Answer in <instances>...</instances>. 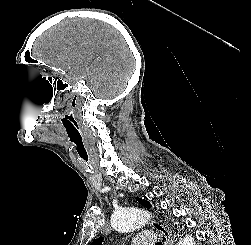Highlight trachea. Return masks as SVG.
Segmentation results:
<instances>
[{"label":"trachea","instance_id":"obj_1","mask_svg":"<svg viewBox=\"0 0 251 245\" xmlns=\"http://www.w3.org/2000/svg\"><path fill=\"white\" fill-rule=\"evenodd\" d=\"M156 245H162L161 242H158Z\"/></svg>","mask_w":251,"mask_h":245}]
</instances>
